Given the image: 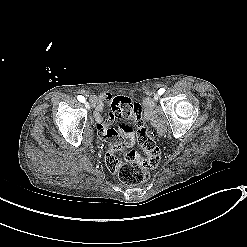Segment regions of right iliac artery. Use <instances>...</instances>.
<instances>
[{"mask_svg": "<svg viewBox=\"0 0 247 247\" xmlns=\"http://www.w3.org/2000/svg\"><path fill=\"white\" fill-rule=\"evenodd\" d=\"M77 99H78L80 102H85V98H84L82 95H78V96H77Z\"/></svg>", "mask_w": 247, "mask_h": 247, "instance_id": "right-iliac-artery-1", "label": "right iliac artery"}]
</instances>
